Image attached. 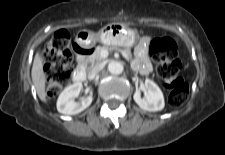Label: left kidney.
I'll return each instance as SVG.
<instances>
[{"label":"left kidney","mask_w":225,"mask_h":155,"mask_svg":"<svg viewBox=\"0 0 225 155\" xmlns=\"http://www.w3.org/2000/svg\"><path fill=\"white\" fill-rule=\"evenodd\" d=\"M145 88L147 90L145 98H141V92L136 90L133 98L140 108L150 112L161 111L164 106V96L160 88L152 80H145Z\"/></svg>","instance_id":"left-kidney-1"}]
</instances>
